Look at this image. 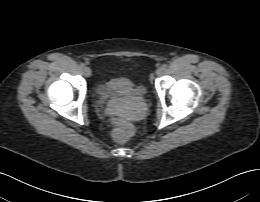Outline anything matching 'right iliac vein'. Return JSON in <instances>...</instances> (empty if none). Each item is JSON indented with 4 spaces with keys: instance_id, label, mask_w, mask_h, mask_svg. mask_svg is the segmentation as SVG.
Returning a JSON list of instances; mask_svg holds the SVG:
<instances>
[{
    "instance_id": "obj_1",
    "label": "right iliac vein",
    "mask_w": 260,
    "mask_h": 202,
    "mask_svg": "<svg viewBox=\"0 0 260 202\" xmlns=\"http://www.w3.org/2000/svg\"><path fill=\"white\" fill-rule=\"evenodd\" d=\"M83 72L86 77H89L91 75V69L89 67H84Z\"/></svg>"
}]
</instances>
